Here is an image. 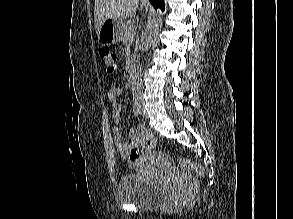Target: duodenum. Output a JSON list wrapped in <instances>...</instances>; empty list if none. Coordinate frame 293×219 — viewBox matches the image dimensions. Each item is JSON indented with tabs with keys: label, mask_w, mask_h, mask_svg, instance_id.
I'll return each mask as SVG.
<instances>
[{
	"label": "duodenum",
	"mask_w": 293,
	"mask_h": 219,
	"mask_svg": "<svg viewBox=\"0 0 293 219\" xmlns=\"http://www.w3.org/2000/svg\"><path fill=\"white\" fill-rule=\"evenodd\" d=\"M136 76H137V65L133 64V65H131V67L129 69V73H128V78L131 83L135 82Z\"/></svg>",
	"instance_id": "duodenum-1"
}]
</instances>
